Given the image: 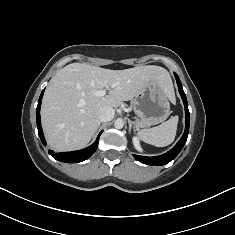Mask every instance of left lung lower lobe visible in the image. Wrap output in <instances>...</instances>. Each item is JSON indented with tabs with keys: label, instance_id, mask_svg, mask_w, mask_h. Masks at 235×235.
Listing matches in <instances>:
<instances>
[{
	"label": "left lung lower lobe",
	"instance_id": "left-lung-lower-lobe-1",
	"mask_svg": "<svg viewBox=\"0 0 235 235\" xmlns=\"http://www.w3.org/2000/svg\"><path fill=\"white\" fill-rule=\"evenodd\" d=\"M175 78L177 80L178 88H179V93L182 97L184 106H185V131L181 139L178 141V143L167 153L156 156V157H145V156H139V155H133L136 160L140 161L141 163L147 164V165H154V166H161L169 163L171 160H173L179 152L182 150L187 137L189 133V121H190V116H189V110H188V103L186 99V95L183 91L181 81L177 74L175 73Z\"/></svg>",
	"mask_w": 235,
	"mask_h": 235
}]
</instances>
